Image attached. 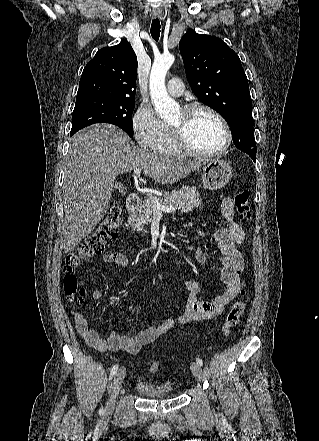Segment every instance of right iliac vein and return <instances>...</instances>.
I'll return each instance as SVG.
<instances>
[{
    "label": "right iliac vein",
    "mask_w": 319,
    "mask_h": 441,
    "mask_svg": "<svg viewBox=\"0 0 319 441\" xmlns=\"http://www.w3.org/2000/svg\"><path fill=\"white\" fill-rule=\"evenodd\" d=\"M126 375V370L124 367H121L118 372L115 374L113 385H112V393L110 395V398L107 402L106 408H105V414L107 416L111 415L115 406V399L116 396L122 386L123 380Z\"/></svg>",
    "instance_id": "obj_1"
}]
</instances>
